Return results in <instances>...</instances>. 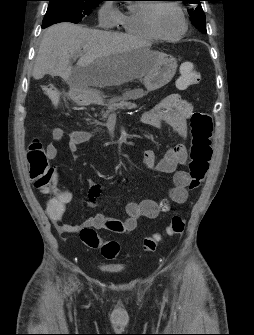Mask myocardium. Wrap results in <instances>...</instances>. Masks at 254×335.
I'll use <instances>...</instances> for the list:
<instances>
[{"instance_id": "obj_1", "label": "myocardium", "mask_w": 254, "mask_h": 335, "mask_svg": "<svg viewBox=\"0 0 254 335\" xmlns=\"http://www.w3.org/2000/svg\"><path fill=\"white\" fill-rule=\"evenodd\" d=\"M162 6H169L172 7L174 10L177 11L179 14L181 21H182V29L179 33L169 36L161 33L157 27L156 23V13L158 9ZM145 21L148 29L151 31V33L158 39L161 40H166V41H176L181 39L186 32L188 31V20L185 16L184 11L182 8L174 3V2H169V1H163V2H158L156 4H150L149 7L147 8L145 12Z\"/></svg>"}]
</instances>
